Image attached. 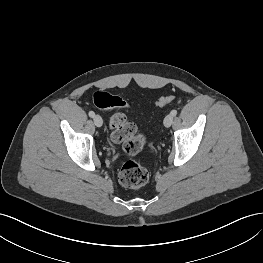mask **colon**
<instances>
[{"label": "colon", "instance_id": "1", "mask_svg": "<svg viewBox=\"0 0 263 263\" xmlns=\"http://www.w3.org/2000/svg\"><path fill=\"white\" fill-rule=\"evenodd\" d=\"M172 95L160 97L156 105L163 107L174 101ZM94 103L104 109H125L128 107L126 101L110 92L98 91L93 96ZM112 130V140L122 146L128 155L138 154L146 143V137L139 133L136 126L127 119L125 114L117 112L113 114L109 121ZM149 179L148 171L135 161H127L119 172V181L122 185L130 188H140Z\"/></svg>", "mask_w": 263, "mask_h": 263}]
</instances>
